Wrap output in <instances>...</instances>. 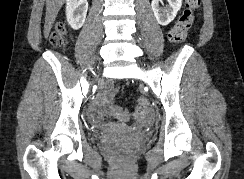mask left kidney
<instances>
[{
	"label": "left kidney",
	"instance_id": "left-kidney-1",
	"mask_svg": "<svg viewBox=\"0 0 244 179\" xmlns=\"http://www.w3.org/2000/svg\"><path fill=\"white\" fill-rule=\"evenodd\" d=\"M162 0H152L151 8L153 14L160 26H168L177 16L182 6V0H167L169 6L167 8H160Z\"/></svg>",
	"mask_w": 244,
	"mask_h": 179
}]
</instances>
